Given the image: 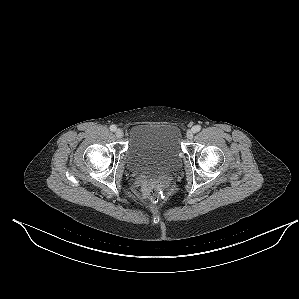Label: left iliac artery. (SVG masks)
<instances>
[{
  "label": "left iliac artery",
  "instance_id": "left-iliac-artery-1",
  "mask_svg": "<svg viewBox=\"0 0 299 299\" xmlns=\"http://www.w3.org/2000/svg\"><path fill=\"white\" fill-rule=\"evenodd\" d=\"M193 132H199L201 130V126L200 125H196L192 128Z\"/></svg>",
  "mask_w": 299,
  "mask_h": 299
}]
</instances>
